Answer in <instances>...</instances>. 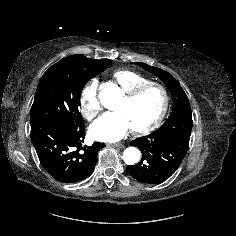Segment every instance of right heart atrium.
<instances>
[{
    "label": "right heart atrium",
    "instance_id": "right-heart-atrium-1",
    "mask_svg": "<svg viewBox=\"0 0 236 236\" xmlns=\"http://www.w3.org/2000/svg\"><path fill=\"white\" fill-rule=\"evenodd\" d=\"M98 88V80L92 79L83 87L80 93V111L82 116L88 121L95 119L101 111V104L98 98Z\"/></svg>",
    "mask_w": 236,
    "mask_h": 236
}]
</instances>
